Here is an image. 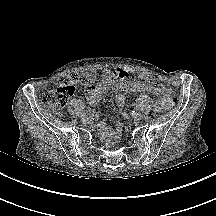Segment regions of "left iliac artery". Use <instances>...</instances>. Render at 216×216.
Segmentation results:
<instances>
[{"mask_svg": "<svg viewBox=\"0 0 216 216\" xmlns=\"http://www.w3.org/2000/svg\"><path fill=\"white\" fill-rule=\"evenodd\" d=\"M132 114L135 116L137 114V110L136 109H133L132 110Z\"/></svg>", "mask_w": 216, "mask_h": 216, "instance_id": "1", "label": "left iliac artery"}]
</instances>
